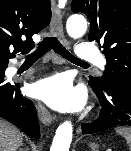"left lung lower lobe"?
<instances>
[{
  "label": "left lung lower lobe",
  "instance_id": "1",
  "mask_svg": "<svg viewBox=\"0 0 131 151\" xmlns=\"http://www.w3.org/2000/svg\"><path fill=\"white\" fill-rule=\"evenodd\" d=\"M102 106L100 116L82 124V133L106 131L116 126H131V93L113 88L99 89L89 83Z\"/></svg>",
  "mask_w": 131,
  "mask_h": 151
}]
</instances>
